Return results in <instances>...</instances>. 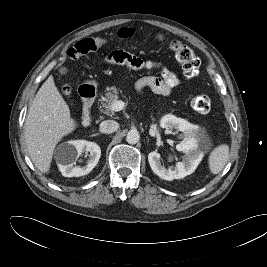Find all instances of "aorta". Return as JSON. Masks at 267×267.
Here are the masks:
<instances>
[{"mask_svg":"<svg viewBox=\"0 0 267 267\" xmlns=\"http://www.w3.org/2000/svg\"><path fill=\"white\" fill-rule=\"evenodd\" d=\"M139 139H140V135H139V132L136 129H132L127 133L126 141L129 144H132V145L136 144V143L139 142Z\"/></svg>","mask_w":267,"mask_h":267,"instance_id":"aorta-1","label":"aorta"}]
</instances>
